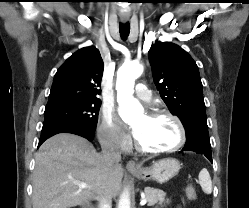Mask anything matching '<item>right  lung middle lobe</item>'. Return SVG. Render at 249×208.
<instances>
[{"label":"right lung middle lobe","instance_id":"obj_1","mask_svg":"<svg viewBox=\"0 0 249 208\" xmlns=\"http://www.w3.org/2000/svg\"><path fill=\"white\" fill-rule=\"evenodd\" d=\"M100 106V100H86L46 107L44 121L66 122L94 131Z\"/></svg>","mask_w":249,"mask_h":208}]
</instances>
